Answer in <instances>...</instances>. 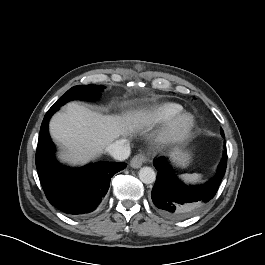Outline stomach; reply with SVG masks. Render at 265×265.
I'll return each instance as SVG.
<instances>
[{
	"label": "stomach",
	"mask_w": 265,
	"mask_h": 265,
	"mask_svg": "<svg viewBox=\"0 0 265 265\" xmlns=\"http://www.w3.org/2000/svg\"><path fill=\"white\" fill-rule=\"evenodd\" d=\"M171 157L174 163L181 168H186L191 163V153L181 149H174L171 152Z\"/></svg>",
	"instance_id": "obj_1"
}]
</instances>
